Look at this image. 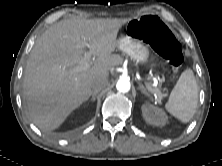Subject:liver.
<instances>
[{
    "instance_id": "6515ba94",
    "label": "liver",
    "mask_w": 222,
    "mask_h": 166,
    "mask_svg": "<svg viewBox=\"0 0 222 166\" xmlns=\"http://www.w3.org/2000/svg\"><path fill=\"white\" fill-rule=\"evenodd\" d=\"M128 21L71 18L52 25L37 39L26 64L23 97L41 131L57 129L89 96L93 81L107 78L110 69L123 62L112 53L119 30ZM84 47L97 58L80 71Z\"/></svg>"
}]
</instances>
